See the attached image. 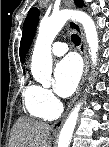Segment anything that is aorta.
<instances>
[{
	"mask_svg": "<svg viewBox=\"0 0 109 147\" xmlns=\"http://www.w3.org/2000/svg\"><path fill=\"white\" fill-rule=\"evenodd\" d=\"M69 19L82 24L90 48L91 60L93 64L97 62L98 33L92 18L87 13L79 10L64 9L53 13L49 18L40 22L31 61V72L34 79L44 86H48L51 81V46L53 40ZM80 107L81 103H78L66 119L59 135L58 147H69Z\"/></svg>",
	"mask_w": 109,
	"mask_h": 147,
	"instance_id": "762f6f07",
	"label": "aorta"
}]
</instances>
